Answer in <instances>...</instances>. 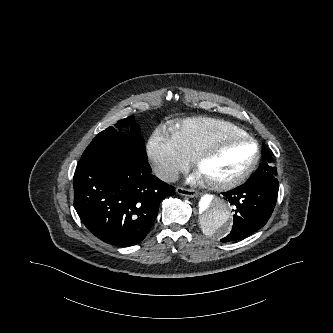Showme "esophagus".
Returning <instances> with one entry per match:
<instances>
[{"label":"esophagus","instance_id":"obj_1","mask_svg":"<svg viewBox=\"0 0 333 333\" xmlns=\"http://www.w3.org/2000/svg\"><path fill=\"white\" fill-rule=\"evenodd\" d=\"M176 192L179 195L187 196V197H191V198H194L197 196V193L194 190H190V189L183 188V187H177Z\"/></svg>","mask_w":333,"mask_h":333}]
</instances>
